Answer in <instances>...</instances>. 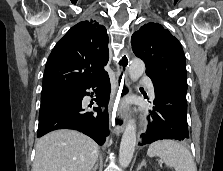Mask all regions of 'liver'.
I'll return each mask as SVG.
<instances>
[{"mask_svg": "<svg viewBox=\"0 0 223 171\" xmlns=\"http://www.w3.org/2000/svg\"><path fill=\"white\" fill-rule=\"evenodd\" d=\"M99 147L88 136L68 129L50 132L36 144L32 171H91Z\"/></svg>", "mask_w": 223, "mask_h": 171, "instance_id": "liver-1", "label": "liver"}]
</instances>
